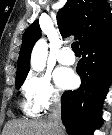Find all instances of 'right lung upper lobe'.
I'll use <instances>...</instances> for the list:
<instances>
[{
    "instance_id": "obj_1",
    "label": "right lung upper lobe",
    "mask_w": 112,
    "mask_h": 135,
    "mask_svg": "<svg viewBox=\"0 0 112 135\" xmlns=\"http://www.w3.org/2000/svg\"><path fill=\"white\" fill-rule=\"evenodd\" d=\"M57 23L63 37L74 35L82 47L112 32L111 8L106 0H67L57 13ZM40 37L41 30L36 20L23 35L16 79L27 76L31 51Z\"/></svg>"
}]
</instances>
